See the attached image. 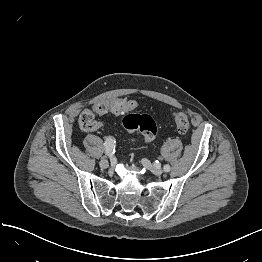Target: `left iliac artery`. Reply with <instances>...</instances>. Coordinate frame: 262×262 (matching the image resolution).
Here are the masks:
<instances>
[{
  "mask_svg": "<svg viewBox=\"0 0 262 262\" xmlns=\"http://www.w3.org/2000/svg\"><path fill=\"white\" fill-rule=\"evenodd\" d=\"M164 171H165V172L170 171V166H169L168 164H166V165L164 166Z\"/></svg>",
  "mask_w": 262,
  "mask_h": 262,
  "instance_id": "obj_1",
  "label": "left iliac artery"
}]
</instances>
